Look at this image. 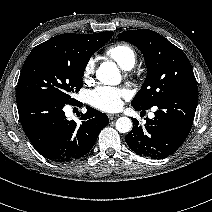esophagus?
<instances>
[{
  "instance_id": "1",
  "label": "esophagus",
  "mask_w": 212,
  "mask_h": 212,
  "mask_svg": "<svg viewBox=\"0 0 212 212\" xmlns=\"http://www.w3.org/2000/svg\"><path fill=\"white\" fill-rule=\"evenodd\" d=\"M108 117L110 120H115L119 117V115L118 114H110V115H108Z\"/></svg>"
}]
</instances>
